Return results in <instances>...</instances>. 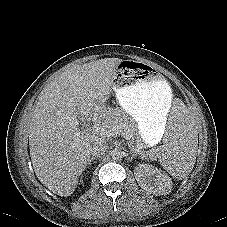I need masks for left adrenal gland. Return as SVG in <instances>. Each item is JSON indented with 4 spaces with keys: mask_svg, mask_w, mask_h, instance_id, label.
Returning <instances> with one entry per match:
<instances>
[{
    "mask_svg": "<svg viewBox=\"0 0 227 227\" xmlns=\"http://www.w3.org/2000/svg\"><path fill=\"white\" fill-rule=\"evenodd\" d=\"M131 154H132L133 157H136L137 156V154L134 153V152H131Z\"/></svg>",
    "mask_w": 227,
    "mask_h": 227,
    "instance_id": "a2214340",
    "label": "left adrenal gland"
}]
</instances>
